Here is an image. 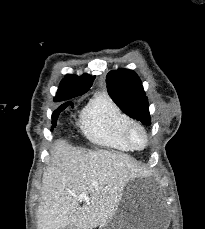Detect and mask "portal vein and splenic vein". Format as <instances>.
Wrapping results in <instances>:
<instances>
[{"label":"portal vein and splenic vein","mask_w":205,"mask_h":229,"mask_svg":"<svg viewBox=\"0 0 205 229\" xmlns=\"http://www.w3.org/2000/svg\"><path fill=\"white\" fill-rule=\"evenodd\" d=\"M78 198H80V199H87L88 198L87 193L86 192H83L82 194H80L78 196Z\"/></svg>","instance_id":"obj_1"}]
</instances>
